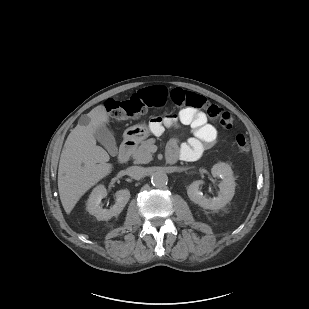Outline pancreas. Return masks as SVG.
<instances>
[{"mask_svg": "<svg viewBox=\"0 0 309 309\" xmlns=\"http://www.w3.org/2000/svg\"><path fill=\"white\" fill-rule=\"evenodd\" d=\"M155 143L154 138H150L141 143V145L132 153L135 164H146L152 160L150 147Z\"/></svg>", "mask_w": 309, "mask_h": 309, "instance_id": "cf45deb5", "label": "pancreas"}]
</instances>
